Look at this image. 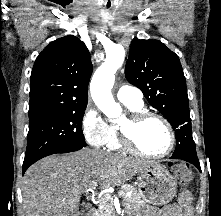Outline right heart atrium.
I'll list each match as a JSON object with an SVG mask.
<instances>
[{
    "label": "right heart atrium",
    "mask_w": 221,
    "mask_h": 216,
    "mask_svg": "<svg viewBox=\"0 0 221 216\" xmlns=\"http://www.w3.org/2000/svg\"><path fill=\"white\" fill-rule=\"evenodd\" d=\"M81 129L85 140L93 147L105 145L109 133L108 123L98 109L89 103L81 119Z\"/></svg>",
    "instance_id": "obj_1"
}]
</instances>
